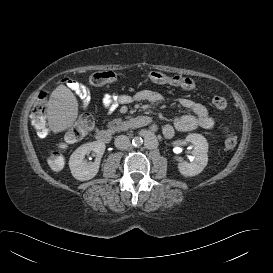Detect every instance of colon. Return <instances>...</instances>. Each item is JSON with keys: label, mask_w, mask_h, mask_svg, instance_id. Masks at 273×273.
Here are the masks:
<instances>
[{"label": "colon", "mask_w": 273, "mask_h": 273, "mask_svg": "<svg viewBox=\"0 0 273 273\" xmlns=\"http://www.w3.org/2000/svg\"><path fill=\"white\" fill-rule=\"evenodd\" d=\"M146 76L150 82L155 84H169L188 89L195 88V82L192 79L180 75L169 76L162 72L149 71ZM116 79L117 75L114 72L103 71L93 73L90 76L89 81L93 85L100 86L113 83L116 81ZM46 98L47 95L45 93L40 94L31 113V123L40 137H46L49 134V128L47 125ZM212 103L217 109H224L227 106V101L222 96H215L212 99ZM93 127V117L90 114H82L69 129L66 136V141L68 143H73L81 140L93 129ZM223 133L225 147L228 149L234 148L237 144L236 136L228 128H224ZM50 165L54 168L59 167L61 165V156L59 154H55L50 159Z\"/></svg>", "instance_id": "colon-1"}]
</instances>
